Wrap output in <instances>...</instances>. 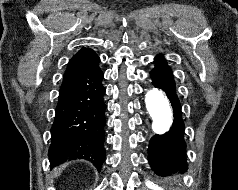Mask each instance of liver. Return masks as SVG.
Instances as JSON below:
<instances>
[{"instance_id":"6515ba94","label":"liver","mask_w":238,"mask_h":190,"mask_svg":"<svg viewBox=\"0 0 238 190\" xmlns=\"http://www.w3.org/2000/svg\"><path fill=\"white\" fill-rule=\"evenodd\" d=\"M61 169L63 168H60L59 170H55V176L58 177L60 174H61Z\"/></svg>"}]
</instances>
